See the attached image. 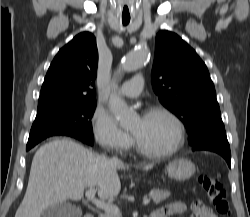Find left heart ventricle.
<instances>
[{"mask_svg":"<svg viewBox=\"0 0 250 217\" xmlns=\"http://www.w3.org/2000/svg\"><path fill=\"white\" fill-rule=\"evenodd\" d=\"M130 131L143 147L151 151H164L170 148L176 139L174 124L162 114L137 118Z\"/></svg>","mask_w":250,"mask_h":217,"instance_id":"b2bd125f","label":"left heart ventricle"}]
</instances>
